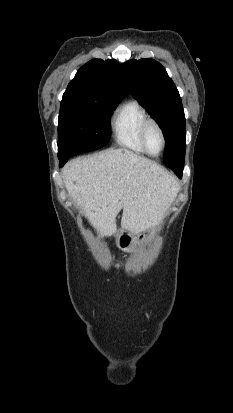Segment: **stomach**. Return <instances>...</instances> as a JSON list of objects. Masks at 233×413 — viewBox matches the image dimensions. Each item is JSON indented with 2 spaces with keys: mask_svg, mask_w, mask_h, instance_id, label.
I'll return each mask as SVG.
<instances>
[{
  "mask_svg": "<svg viewBox=\"0 0 233 413\" xmlns=\"http://www.w3.org/2000/svg\"><path fill=\"white\" fill-rule=\"evenodd\" d=\"M157 226L148 228L138 234H132L129 230L121 229L117 235V246L125 252H133L142 245H147L155 236Z\"/></svg>",
  "mask_w": 233,
  "mask_h": 413,
  "instance_id": "1",
  "label": "stomach"
}]
</instances>
